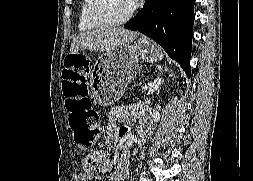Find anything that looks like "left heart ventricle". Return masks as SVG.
Masks as SVG:
<instances>
[{
	"mask_svg": "<svg viewBox=\"0 0 253 181\" xmlns=\"http://www.w3.org/2000/svg\"><path fill=\"white\" fill-rule=\"evenodd\" d=\"M131 9L128 0H104L103 3V13L110 20L122 19Z\"/></svg>",
	"mask_w": 253,
	"mask_h": 181,
	"instance_id": "obj_1",
	"label": "left heart ventricle"
}]
</instances>
